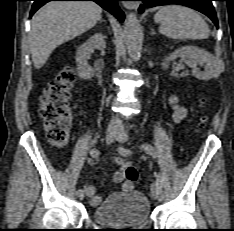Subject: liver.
<instances>
[{
  "label": "liver",
  "mask_w": 234,
  "mask_h": 231,
  "mask_svg": "<svg viewBox=\"0 0 234 231\" xmlns=\"http://www.w3.org/2000/svg\"><path fill=\"white\" fill-rule=\"evenodd\" d=\"M102 8L91 1L49 2L31 21L29 46L32 61L40 69L61 44L83 34L100 20Z\"/></svg>",
  "instance_id": "liver-1"
}]
</instances>
